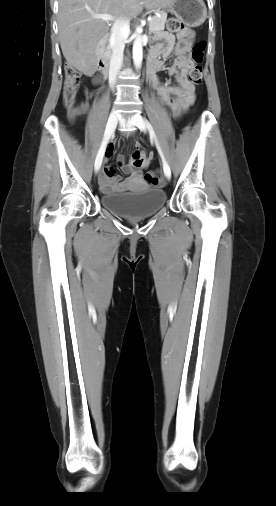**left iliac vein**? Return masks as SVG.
<instances>
[{
  "label": "left iliac vein",
  "instance_id": "1",
  "mask_svg": "<svg viewBox=\"0 0 276 506\" xmlns=\"http://www.w3.org/2000/svg\"><path fill=\"white\" fill-rule=\"evenodd\" d=\"M133 122H134V124H135V125H136V126H137L140 130H141V131H144V132L146 131V125H145V122H144V120H143L142 116H140V115H136V116H135V118H134V120H133ZM163 169H164V171H166V172H167V175L165 174V175H166V177H167L168 179H170V177H171V170H170V167H169V165H168V163H167L166 161H165V162H163Z\"/></svg>",
  "mask_w": 276,
  "mask_h": 506
}]
</instances>
